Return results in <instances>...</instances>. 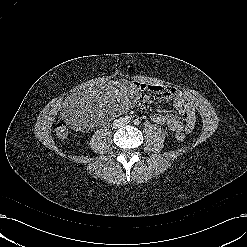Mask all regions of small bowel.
<instances>
[{
    "instance_id": "small-bowel-1",
    "label": "small bowel",
    "mask_w": 247,
    "mask_h": 247,
    "mask_svg": "<svg viewBox=\"0 0 247 247\" xmlns=\"http://www.w3.org/2000/svg\"><path fill=\"white\" fill-rule=\"evenodd\" d=\"M139 90H148L153 96L142 95L141 100L152 102L155 98L172 100L181 119L172 114H153L151 120L155 123L167 126L172 131L190 133L195 125V109L191 102L176 88L158 84H139Z\"/></svg>"
}]
</instances>
